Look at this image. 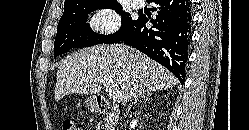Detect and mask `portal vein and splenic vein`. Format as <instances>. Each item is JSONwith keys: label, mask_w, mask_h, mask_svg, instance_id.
I'll return each instance as SVG.
<instances>
[{"label": "portal vein and splenic vein", "mask_w": 249, "mask_h": 130, "mask_svg": "<svg viewBox=\"0 0 249 130\" xmlns=\"http://www.w3.org/2000/svg\"><path fill=\"white\" fill-rule=\"evenodd\" d=\"M100 83L107 84L111 89H113V102L120 103L123 99V92L117 89V84L111 79L101 80Z\"/></svg>", "instance_id": "obj_1"}]
</instances>
